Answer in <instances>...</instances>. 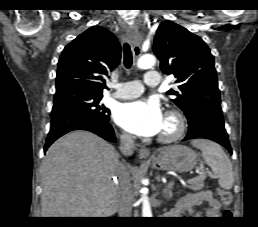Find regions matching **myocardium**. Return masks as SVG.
Segmentation results:
<instances>
[{
    "label": "myocardium",
    "mask_w": 258,
    "mask_h": 227,
    "mask_svg": "<svg viewBox=\"0 0 258 227\" xmlns=\"http://www.w3.org/2000/svg\"><path fill=\"white\" fill-rule=\"evenodd\" d=\"M165 118L173 123L174 128L170 132L161 133L158 136V140L161 143H172L183 136L186 129V119L182 113L176 110L168 111Z\"/></svg>",
    "instance_id": "1"
}]
</instances>
